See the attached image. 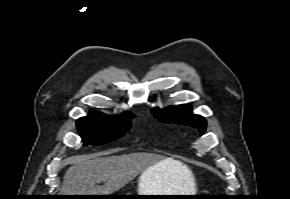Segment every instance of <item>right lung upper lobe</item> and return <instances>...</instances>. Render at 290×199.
<instances>
[{
	"mask_svg": "<svg viewBox=\"0 0 290 199\" xmlns=\"http://www.w3.org/2000/svg\"><path fill=\"white\" fill-rule=\"evenodd\" d=\"M89 116H105V117H109V116L101 114V113H99V112H97L95 110L90 111ZM120 116H135V115L132 114L131 112H125V113L121 114Z\"/></svg>",
	"mask_w": 290,
	"mask_h": 199,
	"instance_id": "right-lung-upper-lobe-1",
	"label": "right lung upper lobe"
}]
</instances>
